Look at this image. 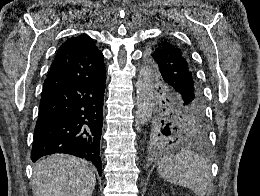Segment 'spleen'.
Segmentation results:
<instances>
[{
  "label": "spleen",
  "mask_w": 260,
  "mask_h": 196,
  "mask_svg": "<svg viewBox=\"0 0 260 196\" xmlns=\"http://www.w3.org/2000/svg\"><path fill=\"white\" fill-rule=\"evenodd\" d=\"M157 170L163 180L189 188L196 196H206L211 184L207 160L191 150H180L176 156H164L158 162Z\"/></svg>",
  "instance_id": "1"
}]
</instances>
